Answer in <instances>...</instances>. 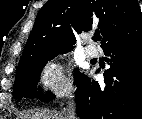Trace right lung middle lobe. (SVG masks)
<instances>
[{
    "mask_svg": "<svg viewBox=\"0 0 142 119\" xmlns=\"http://www.w3.org/2000/svg\"><path fill=\"white\" fill-rule=\"evenodd\" d=\"M66 52L68 51L50 53L35 59L31 63L23 67L18 68L14 83V90H13L14 96L18 99H21L22 97L26 98L34 97L40 99L43 102H49L50 100L54 99L55 95H53L51 92H47L45 94L41 92V88L37 89V83L42 68L46 65L47 61L51 60L60 53H66ZM82 75L83 74L80 73L78 70H75L74 73L75 84L78 83Z\"/></svg>",
    "mask_w": 142,
    "mask_h": 119,
    "instance_id": "obj_1",
    "label": "right lung middle lobe"
}]
</instances>
